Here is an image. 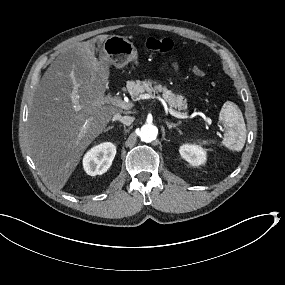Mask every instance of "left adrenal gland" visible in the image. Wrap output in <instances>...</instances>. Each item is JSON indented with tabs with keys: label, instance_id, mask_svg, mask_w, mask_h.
Returning a JSON list of instances; mask_svg holds the SVG:
<instances>
[{
	"label": "left adrenal gland",
	"instance_id": "obj_1",
	"mask_svg": "<svg viewBox=\"0 0 285 285\" xmlns=\"http://www.w3.org/2000/svg\"><path fill=\"white\" fill-rule=\"evenodd\" d=\"M166 123H167L169 131H171L172 128H175V129L178 130L179 126L181 125V122H178L177 124H174V123H170L169 121H166Z\"/></svg>",
	"mask_w": 285,
	"mask_h": 285
}]
</instances>
